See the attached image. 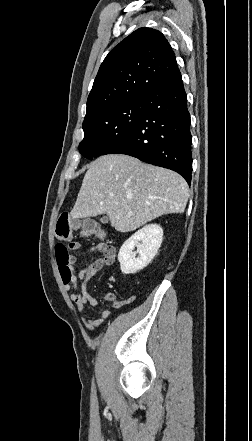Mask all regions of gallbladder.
I'll use <instances>...</instances> for the list:
<instances>
[{"label": "gallbladder", "mask_w": 252, "mask_h": 441, "mask_svg": "<svg viewBox=\"0 0 252 441\" xmlns=\"http://www.w3.org/2000/svg\"><path fill=\"white\" fill-rule=\"evenodd\" d=\"M100 221H101L102 223H107V222H108V217H107V216H103V217L100 219Z\"/></svg>", "instance_id": "bac80fb5"}]
</instances>
